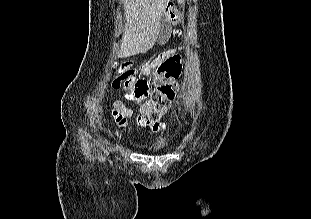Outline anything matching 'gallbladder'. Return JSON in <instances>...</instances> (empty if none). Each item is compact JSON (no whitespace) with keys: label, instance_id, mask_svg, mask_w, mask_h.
Instances as JSON below:
<instances>
[{"label":"gallbladder","instance_id":"bac80fb5","mask_svg":"<svg viewBox=\"0 0 311 219\" xmlns=\"http://www.w3.org/2000/svg\"><path fill=\"white\" fill-rule=\"evenodd\" d=\"M172 27L170 22L163 16L160 21L158 30L157 42L160 44L166 43L171 37Z\"/></svg>","mask_w":311,"mask_h":219}]
</instances>
